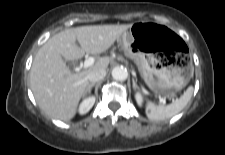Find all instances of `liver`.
Masks as SVG:
<instances>
[{
	"mask_svg": "<svg viewBox=\"0 0 225 155\" xmlns=\"http://www.w3.org/2000/svg\"><path fill=\"white\" fill-rule=\"evenodd\" d=\"M131 26H81L52 36L37 52L30 71V87L40 109L52 118L71 120L89 86L87 75L97 68L106 69L109 58H99L95 64L78 73H71L63 59L76 60L85 53H104Z\"/></svg>",
	"mask_w": 225,
	"mask_h": 155,
	"instance_id": "1",
	"label": "liver"
}]
</instances>
